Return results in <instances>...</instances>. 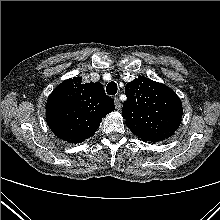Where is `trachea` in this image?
<instances>
[{
	"instance_id": "3493384b",
	"label": "trachea",
	"mask_w": 220,
	"mask_h": 220,
	"mask_svg": "<svg viewBox=\"0 0 220 220\" xmlns=\"http://www.w3.org/2000/svg\"><path fill=\"white\" fill-rule=\"evenodd\" d=\"M117 84L113 81H111L110 83H108L107 87H106V91L107 94L109 95H115L117 93Z\"/></svg>"
}]
</instances>
